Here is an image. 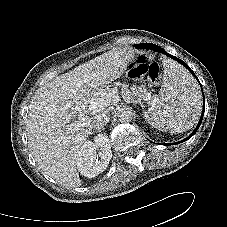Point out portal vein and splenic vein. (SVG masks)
I'll list each match as a JSON object with an SVG mask.
<instances>
[{"label":"portal vein and splenic vein","instance_id":"18ae733b","mask_svg":"<svg viewBox=\"0 0 227 227\" xmlns=\"http://www.w3.org/2000/svg\"><path fill=\"white\" fill-rule=\"evenodd\" d=\"M149 99H150V95L147 94V97L145 98V100H149ZM70 105H71L70 103H67L66 104L67 107H70ZM87 118H88V116H87V114H86L85 111L79 112V114H78V121L73 122L70 125V128H77L78 129L80 127H83L86 124V122H87Z\"/></svg>","mask_w":227,"mask_h":227}]
</instances>
